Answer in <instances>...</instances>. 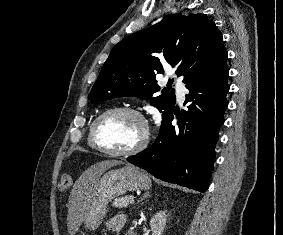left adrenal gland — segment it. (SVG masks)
I'll list each match as a JSON object with an SVG mask.
<instances>
[{"label":"left adrenal gland","instance_id":"left-adrenal-gland-1","mask_svg":"<svg viewBox=\"0 0 283 235\" xmlns=\"http://www.w3.org/2000/svg\"><path fill=\"white\" fill-rule=\"evenodd\" d=\"M150 197V193L147 191L146 193L143 194L141 201L144 200L145 198Z\"/></svg>","mask_w":283,"mask_h":235}]
</instances>
